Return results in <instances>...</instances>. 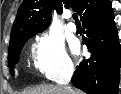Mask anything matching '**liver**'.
<instances>
[{
	"label": "liver",
	"instance_id": "1",
	"mask_svg": "<svg viewBox=\"0 0 121 94\" xmlns=\"http://www.w3.org/2000/svg\"><path fill=\"white\" fill-rule=\"evenodd\" d=\"M19 94H66L62 86L53 84H43L35 88L23 90ZM71 94H83L80 90H72Z\"/></svg>",
	"mask_w": 121,
	"mask_h": 94
}]
</instances>
